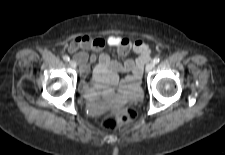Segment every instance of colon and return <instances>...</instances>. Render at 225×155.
<instances>
[{"instance_id":"1","label":"colon","mask_w":225,"mask_h":155,"mask_svg":"<svg viewBox=\"0 0 225 155\" xmlns=\"http://www.w3.org/2000/svg\"><path fill=\"white\" fill-rule=\"evenodd\" d=\"M137 116L135 109L131 107L120 108L104 114L102 126L106 129H115L118 126L133 121Z\"/></svg>"}]
</instances>
